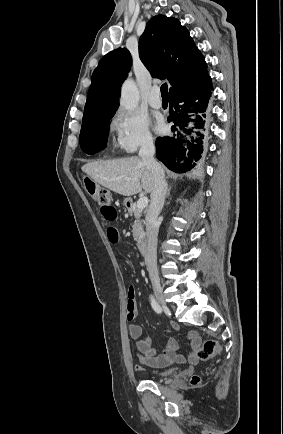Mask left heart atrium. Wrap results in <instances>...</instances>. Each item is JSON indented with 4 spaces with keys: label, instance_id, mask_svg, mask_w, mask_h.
<instances>
[{
    "label": "left heart atrium",
    "instance_id": "left-heart-atrium-1",
    "mask_svg": "<svg viewBox=\"0 0 283 434\" xmlns=\"http://www.w3.org/2000/svg\"><path fill=\"white\" fill-rule=\"evenodd\" d=\"M156 128H157L158 131H161L163 129L162 122H158Z\"/></svg>",
    "mask_w": 283,
    "mask_h": 434
}]
</instances>
